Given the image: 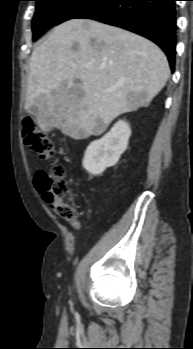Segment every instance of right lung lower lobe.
<instances>
[{
    "label": "right lung lower lobe",
    "mask_w": 193,
    "mask_h": 349,
    "mask_svg": "<svg viewBox=\"0 0 193 349\" xmlns=\"http://www.w3.org/2000/svg\"><path fill=\"white\" fill-rule=\"evenodd\" d=\"M176 0H97L76 18L121 27L158 44L174 71Z\"/></svg>",
    "instance_id": "right-lung-lower-lobe-1"
}]
</instances>
